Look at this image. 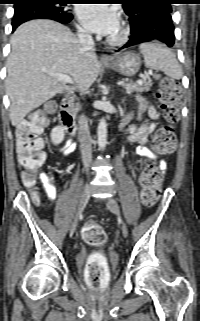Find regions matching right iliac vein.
<instances>
[{"instance_id":"obj_1","label":"right iliac vein","mask_w":200,"mask_h":321,"mask_svg":"<svg viewBox=\"0 0 200 321\" xmlns=\"http://www.w3.org/2000/svg\"><path fill=\"white\" fill-rule=\"evenodd\" d=\"M90 196V185L86 183V185L83 188V191L81 193L80 199H79V205L77 212L74 216V219L72 221L71 227H70V235H73L74 231L76 230L77 222L79 219V216L81 212L84 210Z\"/></svg>"}]
</instances>
